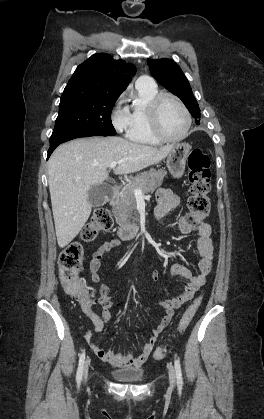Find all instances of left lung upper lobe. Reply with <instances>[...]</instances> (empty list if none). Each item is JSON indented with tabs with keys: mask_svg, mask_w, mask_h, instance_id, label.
Returning a JSON list of instances; mask_svg holds the SVG:
<instances>
[{
	"mask_svg": "<svg viewBox=\"0 0 264 419\" xmlns=\"http://www.w3.org/2000/svg\"><path fill=\"white\" fill-rule=\"evenodd\" d=\"M151 75L167 90L178 96L198 122L200 109L190 84L180 67L171 59H147Z\"/></svg>",
	"mask_w": 264,
	"mask_h": 419,
	"instance_id": "left-lung-upper-lobe-1",
	"label": "left lung upper lobe"
}]
</instances>
